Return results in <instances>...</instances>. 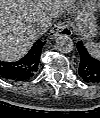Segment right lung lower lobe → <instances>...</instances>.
Wrapping results in <instances>:
<instances>
[{
	"label": "right lung lower lobe",
	"instance_id": "obj_1",
	"mask_svg": "<svg viewBox=\"0 0 100 118\" xmlns=\"http://www.w3.org/2000/svg\"><path fill=\"white\" fill-rule=\"evenodd\" d=\"M45 42L37 40L31 50L16 62H0V76L14 81L31 78L37 72L39 57Z\"/></svg>",
	"mask_w": 100,
	"mask_h": 118
}]
</instances>
